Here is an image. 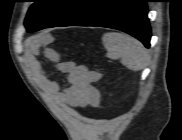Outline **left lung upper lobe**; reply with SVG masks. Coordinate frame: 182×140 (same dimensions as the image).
<instances>
[{"instance_id":"1","label":"left lung upper lobe","mask_w":182,"mask_h":140,"mask_svg":"<svg viewBox=\"0 0 182 140\" xmlns=\"http://www.w3.org/2000/svg\"><path fill=\"white\" fill-rule=\"evenodd\" d=\"M104 0H34L25 18L28 32L69 26Z\"/></svg>"}]
</instances>
